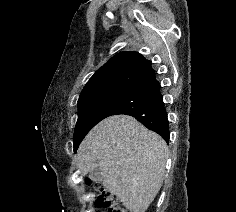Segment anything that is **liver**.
<instances>
[{
  "mask_svg": "<svg viewBox=\"0 0 236 212\" xmlns=\"http://www.w3.org/2000/svg\"><path fill=\"white\" fill-rule=\"evenodd\" d=\"M168 154L166 142L126 115L98 123L81 142L76 162L83 173L102 172L103 186L131 212H145L158 194Z\"/></svg>",
  "mask_w": 236,
  "mask_h": 212,
  "instance_id": "obj_1",
  "label": "liver"
}]
</instances>
